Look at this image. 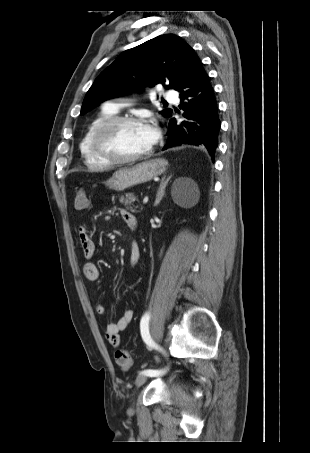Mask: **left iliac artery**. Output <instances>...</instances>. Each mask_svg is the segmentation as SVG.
I'll return each mask as SVG.
<instances>
[{
    "instance_id": "1",
    "label": "left iliac artery",
    "mask_w": 310,
    "mask_h": 453,
    "mask_svg": "<svg viewBox=\"0 0 310 453\" xmlns=\"http://www.w3.org/2000/svg\"><path fill=\"white\" fill-rule=\"evenodd\" d=\"M149 319H150L149 313H145L141 319V322H140L141 336H142L144 342L148 346L153 347L159 351H162V349L158 345H156L154 343V341L151 339V336L149 334V325H148ZM142 373L147 376L156 377V376H160V375L164 374L165 369L164 370L163 369H160V370L146 369V370L142 371Z\"/></svg>"
}]
</instances>
